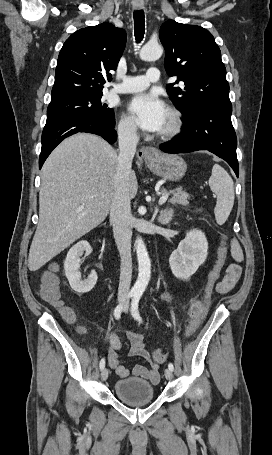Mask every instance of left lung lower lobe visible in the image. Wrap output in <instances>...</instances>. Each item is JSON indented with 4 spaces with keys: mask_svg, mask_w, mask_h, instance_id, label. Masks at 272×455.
<instances>
[{
    "mask_svg": "<svg viewBox=\"0 0 272 455\" xmlns=\"http://www.w3.org/2000/svg\"><path fill=\"white\" fill-rule=\"evenodd\" d=\"M231 104H213L199 108L183 119L182 132L160 149L166 153L208 150L224 159L237 177V138L231 122Z\"/></svg>",
    "mask_w": 272,
    "mask_h": 455,
    "instance_id": "0a47b994",
    "label": "left lung lower lobe"
}]
</instances>
